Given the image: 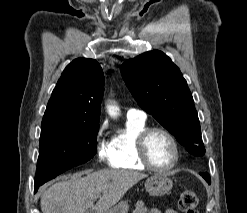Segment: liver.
Here are the masks:
<instances>
[{"mask_svg":"<svg viewBox=\"0 0 247 213\" xmlns=\"http://www.w3.org/2000/svg\"><path fill=\"white\" fill-rule=\"evenodd\" d=\"M74 174L45 190L41 195L42 213H103L147 174L128 170H100ZM99 198L96 205L94 201Z\"/></svg>","mask_w":247,"mask_h":213,"instance_id":"6515ba94","label":"liver"}]
</instances>
